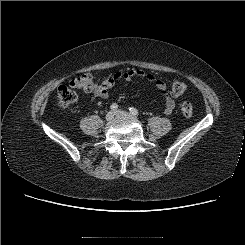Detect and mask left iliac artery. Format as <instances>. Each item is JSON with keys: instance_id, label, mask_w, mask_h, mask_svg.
<instances>
[{"instance_id": "44dca946", "label": "left iliac artery", "mask_w": 245, "mask_h": 245, "mask_svg": "<svg viewBox=\"0 0 245 245\" xmlns=\"http://www.w3.org/2000/svg\"><path fill=\"white\" fill-rule=\"evenodd\" d=\"M129 111H130V113H131L132 115H134V116H138V115H139L138 110H137L136 108H134V107H130V108H129Z\"/></svg>"}]
</instances>
